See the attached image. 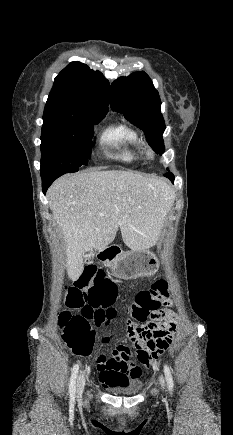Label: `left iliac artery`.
<instances>
[{
    "label": "left iliac artery",
    "instance_id": "44dca946",
    "mask_svg": "<svg viewBox=\"0 0 233 435\" xmlns=\"http://www.w3.org/2000/svg\"><path fill=\"white\" fill-rule=\"evenodd\" d=\"M164 373H165V377H166V381H167V385H168L169 389L173 390V387H174L173 378L171 375L170 368L167 365L164 366Z\"/></svg>",
    "mask_w": 233,
    "mask_h": 435
}]
</instances>
